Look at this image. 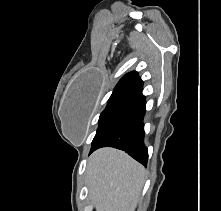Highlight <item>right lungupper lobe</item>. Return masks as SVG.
I'll return each instance as SVG.
<instances>
[{"label": "right lung upper lobe", "mask_w": 221, "mask_h": 211, "mask_svg": "<svg viewBox=\"0 0 221 211\" xmlns=\"http://www.w3.org/2000/svg\"><path fill=\"white\" fill-rule=\"evenodd\" d=\"M143 89V81L138 77L136 71L127 73L116 85L115 91H135L140 92Z\"/></svg>", "instance_id": "obj_1"}]
</instances>
